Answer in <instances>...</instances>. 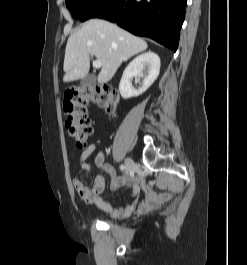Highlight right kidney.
I'll use <instances>...</instances> for the list:
<instances>
[{"label": "right kidney", "instance_id": "obj_1", "mask_svg": "<svg viewBox=\"0 0 247 265\" xmlns=\"http://www.w3.org/2000/svg\"><path fill=\"white\" fill-rule=\"evenodd\" d=\"M146 75L143 84L138 89L132 86L131 80L134 76ZM160 72V58L154 52H147L139 55L129 63L123 72L122 79L119 84V91L124 99L136 97L144 93L157 79Z\"/></svg>", "mask_w": 247, "mask_h": 265}]
</instances>
